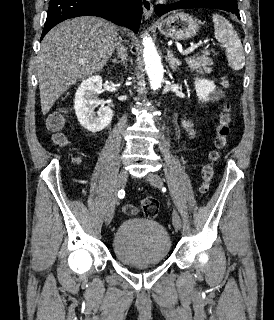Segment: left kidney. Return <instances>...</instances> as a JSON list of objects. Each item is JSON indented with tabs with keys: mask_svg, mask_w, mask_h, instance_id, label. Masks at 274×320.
I'll return each instance as SVG.
<instances>
[{
	"mask_svg": "<svg viewBox=\"0 0 274 320\" xmlns=\"http://www.w3.org/2000/svg\"><path fill=\"white\" fill-rule=\"evenodd\" d=\"M194 86L196 96L200 102H209V100L215 102V100H219L223 94L221 90H217V86H215L214 82H210V80H200V78H196Z\"/></svg>",
	"mask_w": 274,
	"mask_h": 320,
	"instance_id": "5707ae66",
	"label": "left kidney"
}]
</instances>
